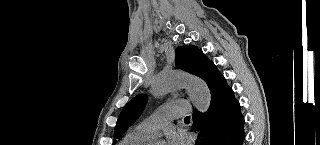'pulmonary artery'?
<instances>
[{
  "instance_id": "1",
  "label": "pulmonary artery",
  "mask_w": 320,
  "mask_h": 145,
  "mask_svg": "<svg viewBox=\"0 0 320 145\" xmlns=\"http://www.w3.org/2000/svg\"><path fill=\"white\" fill-rule=\"evenodd\" d=\"M188 113L186 101L171 102L159 107L150 117L140 122L135 130L152 139L170 120L186 116Z\"/></svg>"
}]
</instances>
